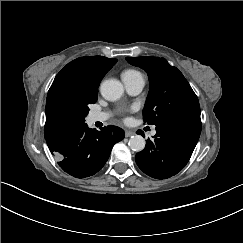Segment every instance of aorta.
<instances>
[{"label": "aorta", "instance_id": "aorta-1", "mask_svg": "<svg viewBox=\"0 0 243 243\" xmlns=\"http://www.w3.org/2000/svg\"><path fill=\"white\" fill-rule=\"evenodd\" d=\"M100 92L104 99L116 101L123 95L124 87L120 81L109 79L102 82ZM128 145L133 151H142L145 148V139L141 135L131 136Z\"/></svg>", "mask_w": 243, "mask_h": 243}]
</instances>
